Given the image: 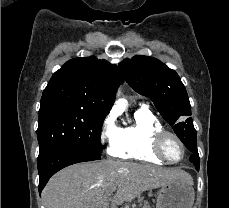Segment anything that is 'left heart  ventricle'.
<instances>
[{
	"mask_svg": "<svg viewBox=\"0 0 229 208\" xmlns=\"http://www.w3.org/2000/svg\"><path fill=\"white\" fill-rule=\"evenodd\" d=\"M174 137L169 136L167 138L166 143L168 144V147L166 148V153L169 154V157H171L173 160H180L183 156L184 150L183 147L179 146V143L174 142Z\"/></svg>",
	"mask_w": 229,
	"mask_h": 208,
	"instance_id": "left-heart-ventricle-1",
	"label": "left heart ventricle"
}]
</instances>
